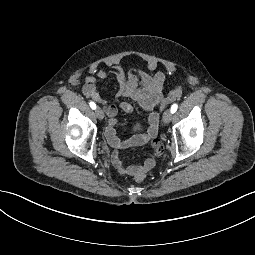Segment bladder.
<instances>
[{
	"label": "bladder",
	"instance_id": "bladder-1",
	"mask_svg": "<svg viewBox=\"0 0 255 255\" xmlns=\"http://www.w3.org/2000/svg\"><path fill=\"white\" fill-rule=\"evenodd\" d=\"M140 128H141V124H140L139 122H136V123L134 124V129H135V130H140Z\"/></svg>",
	"mask_w": 255,
	"mask_h": 255
}]
</instances>
